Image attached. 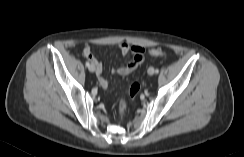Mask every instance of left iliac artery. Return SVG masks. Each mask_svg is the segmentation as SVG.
<instances>
[{"label": "left iliac artery", "instance_id": "44dca946", "mask_svg": "<svg viewBox=\"0 0 244 157\" xmlns=\"http://www.w3.org/2000/svg\"><path fill=\"white\" fill-rule=\"evenodd\" d=\"M155 73L158 74V73H159V69H156V70H155Z\"/></svg>", "mask_w": 244, "mask_h": 157}]
</instances>
